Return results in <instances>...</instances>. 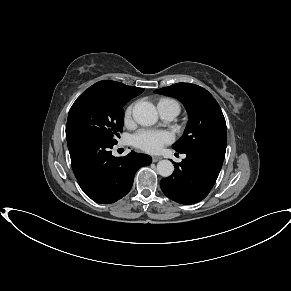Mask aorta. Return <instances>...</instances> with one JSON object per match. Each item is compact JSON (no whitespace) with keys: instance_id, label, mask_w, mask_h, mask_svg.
Returning a JSON list of instances; mask_svg holds the SVG:
<instances>
[{"instance_id":"762f6f07","label":"aorta","mask_w":291,"mask_h":291,"mask_svg":"<svg viewBox=\"0 0 291 291\" xmlns=\"http://www.w3.org/2000/svg\"><path fill=\"white\" fill-rule=\"evenodd\" d=\"M133 118L142 126H151L158 120L155 106L147 101H139L133 107ZM174 171L173 163L169 160H161L157 163V172L163 177H169Z\"/></svg>"}]
</instances>
